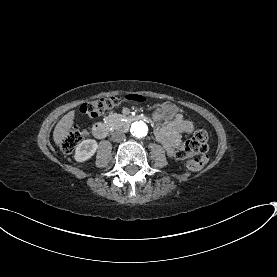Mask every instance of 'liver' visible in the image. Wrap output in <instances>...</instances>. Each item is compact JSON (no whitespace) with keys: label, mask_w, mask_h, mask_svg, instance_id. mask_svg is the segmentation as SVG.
Here are the masks:
<instances>
[{"label":"liver","mask_w":277,"mask_h":277,"mask_svg":"<svg viewBox=\"0 0 277 277\" xmlns=\"http://www.w3.org/2000/svg\"><path fill=\"white\" fill-rule=\"evenodd\" d=\"M75 114L76 110H72L64 115L57 123L53 132V140L56 146L62 145L68 137L70 130L74 126Z\"/></svg>","instance_id":"liver-1"}]
</instances>
